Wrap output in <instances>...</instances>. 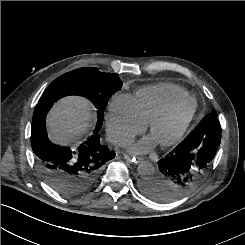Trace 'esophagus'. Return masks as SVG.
I'll return each instance as SVG.
<instances>
[{"instance_id": "esophagus-1", "label": "esophagus", "mask_w": 245, "mask_h": 245, "mask_svg": "<svg viewBox=\"0 0 245 245\" xmlns=\"http://www.w3.org/2000/svg\"><path fill=\"white\" fill-rule=\"evenodd\" d=\"M124 158L126 161H128L131 164L137 165L140 162H142L141 158L135 157V156H131V155H124Z\"/></svg>"}]
</instances>
